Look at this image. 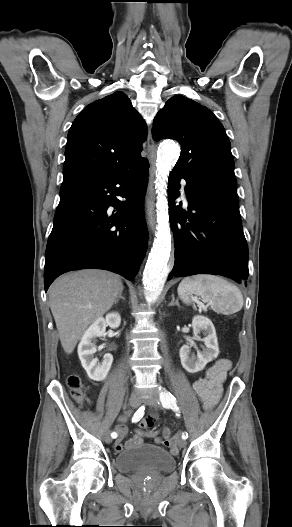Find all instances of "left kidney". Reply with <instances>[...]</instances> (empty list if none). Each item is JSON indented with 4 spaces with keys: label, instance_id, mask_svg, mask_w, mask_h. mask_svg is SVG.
<instances>
[{
    "label": "left kidney",
    "instance_id": "5707ae66",
    "mask_svg": "<svg viewBox=\"0 0 292 527\" xmlns=\"http://www.w3.org/2000/svg\"><path fill=\"white\" fill-rule=\"evenodd\" d=\"M193 339L204 342L205 347L202 351H197V356H190V346L183 345L180 349V359L183 368L189 373H196L203 370L207 363L217 358L219 354L218 341L215 327L207 317L197 315L192 320ZM203 333V339L198 334Z\"/></svg>",
    "mask_w": 292,
    "mask_h": 527
}]
</instances>
